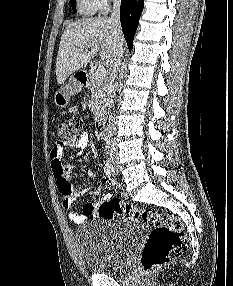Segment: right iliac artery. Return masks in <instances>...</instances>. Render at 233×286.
<instances>
[{
    "label": "right iliac artery",
    "mask_w": 233,
    "mask_h": 286,
    "mask_svg": "<svg viewBox=\"0 0 233 286\" xmlns=\"http://www.w3.org/2000/svg\"><path fill=\"white\" fill-rule=\"evenodd\" d=\"M104 170H105L106 174L108 175V177H111V175H112V165H111V162H110L109 159L105 161Z\"/></svg>",
    "instance_id": "82829eb1"
}]
</instances>
